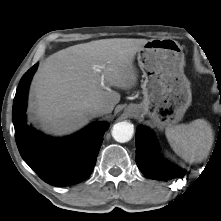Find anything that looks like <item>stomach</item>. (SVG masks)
I'll use <instances>...</instances> for the list:
<instances>
[{"instance_id": "0dacf381", "label": "stomach", "mask_w": 221, "mask_h": 221, "mask_svg": "<svg viewBox=\"0 0 221 221\" xmlns=\"http://www.w3.org/2000/svg\"><path fill=\"white\" fill-rule=\"evenodd\" d=\"M137 59L145 78L143 101L128 105L126 111L150 118L160 129L175 125L192 101L182 46L171 38L151 39L138 51Z\"/></svg>"}]
</instances>
